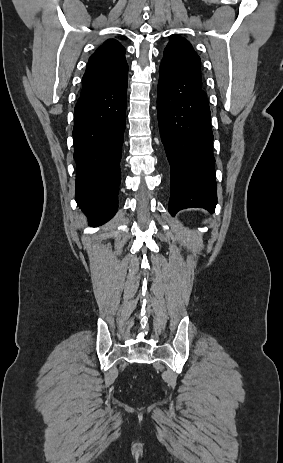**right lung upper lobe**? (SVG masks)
<instances>
[{"mask_svg": "<svg viewBox=\"0 0 283 463\" xmlns=\"http://www.w3.org/2000/svg\"><path fill=\"white\" fill-rule=\"evenodd\" d=\"M125 48L116 40L105 41L91 55L83 76L81 94L110 85L127 75Z\"/></svg>", "mask_w": 283, "mask_h": 463, "instance_id": "obj_1", "label": "right lung upper lobe"}]
</instances>
